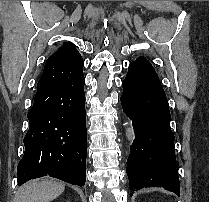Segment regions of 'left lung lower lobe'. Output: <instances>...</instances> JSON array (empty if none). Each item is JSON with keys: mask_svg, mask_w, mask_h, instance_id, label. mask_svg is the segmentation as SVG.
<instances>
[{"mask_svg": "<svg viewBox=\"0 0 209 202\" xmlns=\"http://www.w3.org/2000/svg\"><path fill=\"white\" fill-rule=\"evenodd\" d=\"M122 87V107L135 132L126 170L131 191L158 186L180 194L169 105L157 73L132 62Z\"/></svg>", "mask_w": 209, "mask_h": 202, "instance_id": "obj_1", "label": "left lung lower lobe"}]
</instances>
